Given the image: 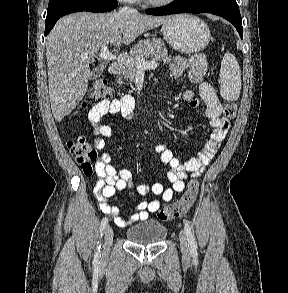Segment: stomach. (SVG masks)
<instances>
[{
    "label": "stomach",
    "instance_id": "0dacf381",
    "mask_svg": "<svg viewBox=\"0 0 288 293\" xmlns=\"http://www.w3.org/2000/svg\"><path fill=\"white\" fill-rule=\"evenodd\" d=\"M162 33L173 49L185 54L202 51L211 37L207 24L188 14L169 17L162 25Z\"/></svg>",
    "mask_w": 288,
    "mask_h": 293
}]
</instances>
